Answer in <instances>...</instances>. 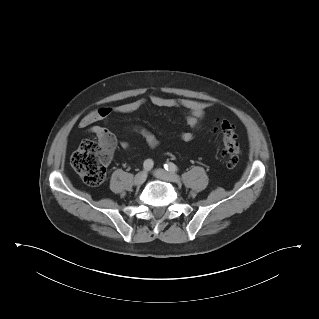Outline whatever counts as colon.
<instances>
[{"label":"colon","instance_id":"5ec220e1","mask_svg":"<svg viewBox=\"0 0 319 319\" xmlns=\"http://www.w3.org/2000/svg\"><path fill=\"white\" fill-rule=\"evenodd\" d=\"M217 131L221 136V156L227 167L234 168L241 152L234 127L228 121H220ZM114 145V139L110 135L98 140L87 139L72 155L71 166L86 184L98 186L103 182Z\"/></svg>","mask_w":319,"mask_h":319}]
</instances>
